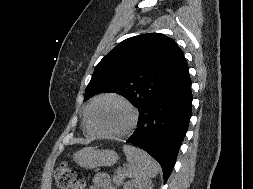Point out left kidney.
Masks as SVG:
<instances>
[{
  "mask_svg": "<svg viewBox=\"0 0 253 189\" xmlns=\"http://www.w3.org/2000/svg\"><path fill=\"white\" fill-rule=\"evenodd\" d=\"M123 189H152V182L150 180H131L128 181Z\"/></svg>",
  "mask_w": 253,
  "mask_h": 189,
  "instance_id": "5707ae66",
  "label": "left kidney"
}]
</instances>
